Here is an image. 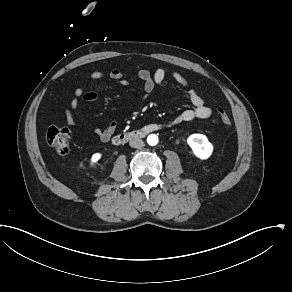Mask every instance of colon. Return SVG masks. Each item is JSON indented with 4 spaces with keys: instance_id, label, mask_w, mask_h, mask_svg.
Instances as JSON below:
<instances>
[{
    "instance_id": "5ec220e1",
    "label": "colon",
    "mask_w": 292,
    "mask_h": 292,
    "mask_svg": "<svg viewBox=\"0 0 292 292\" xmlns=\"http://www.w3.org/2000/svg\"><path fill=\"white\" fill-rule=\"evenodd\" d=\"M215 111L221 122L228 128H232L233 124L226 110L221 105H218L215 107ZM70 139V131L65 128L51 127L46 133L47 143L56 154L67 153Z\"/></svg>"
}]
</instances>
